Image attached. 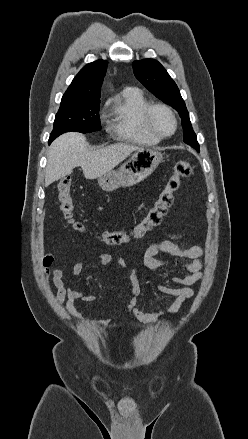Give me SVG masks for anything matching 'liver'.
Instances as JSON below:
<instances>
[{
	"instance_id": "liver-1",
	"label": "liver",
	"mask_w": 248,
	"mask_h": 439,
	"mask_svg": "<svg viewBox=\"0 0 248 439\" xmlns=\"http://www.w3.org/2000/svg\"><path fill=\"white\" fill-rule=\"evenodd\" d=\"M139 149L141 147L117 143L92 151L88 149L86 138L81 133L63 134L50 146L45 169V186L70 175L78 166L82 168L86 179H96Z\"/></svg>"
}]
</instances>
